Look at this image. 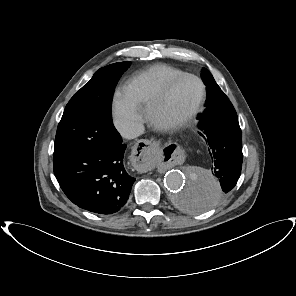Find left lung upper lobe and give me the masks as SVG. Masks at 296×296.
Listing matches in <instances>:
<instances>
[{
	"instance_id": "5c2ea615",
	"label": "left lung upper lobe",
	"mask_w": 296,
	"mask_h": 296,
	"mask_svg": "<svg viewBox=\"0 0 296 296\" xmlns=\"http://www.w3.org/2000/svg\"><path fill=\"white\" fill-rule=\"evenodd\" d=\"M202 79L205 85L207 86L208 96H207L205 108H208L210 107L213 101H215L216 99H218L219 97L225 94L221 91L220 87L215 82L211 73L205 68H203L202 70Z\"/></svg>"
}]
</instances>
